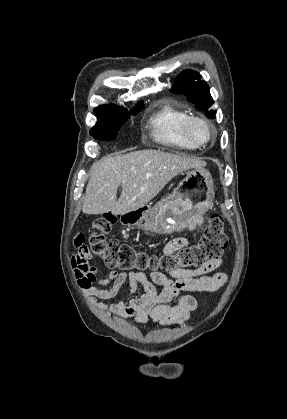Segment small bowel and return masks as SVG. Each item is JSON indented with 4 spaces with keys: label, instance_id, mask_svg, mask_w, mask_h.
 Segmentation results:
<instances>
[{
    "label": "small bowel",
    "instance_id": "obj_1",
    "mask_svg": "<svg viewBox=\"0 0 287 419\" xmlns=\"http://www.w3.org/2000/svg\"><path fill=\"white\" fill-rule=\"evenodd\" d=\"M187 244L186 238H175L166 244L164 253L173 254ZM74 245L75 252L71 265L78 285L89 296L91 303L107 313L122 318L133 317L138 324L151 321L159 325H182L189 319L191 312L197 308V299L192 295H183L176 303H171V301L181 292L215 291L227 279L224 272H217L212 276L207 275L221 265V257L197 270L175 269L170 272V277L160 272L135 271L129 273L111 271L106 276H102L99 268L90 262L89 250L78 241H75ZM125 284L127 296L118 303L109 305L98 300L115 297ZM139 285L143 286L144 294L137 298H130ZM157 285L163 287L161 292H157ZM107 286L110 287L103 288Z\"/></svg>",
    "mask_w": 287,
    "mask_h": 419
}]
</instances>
